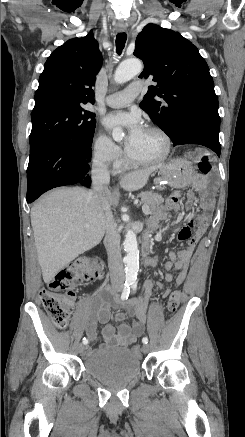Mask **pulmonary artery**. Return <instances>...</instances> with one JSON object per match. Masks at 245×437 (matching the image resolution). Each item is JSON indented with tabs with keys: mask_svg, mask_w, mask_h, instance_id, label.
Instances as JSON below:
<instances>
[{
	"mask_svg": "<svg viewBox=\"0 0 245 437\" xmlns=\"http://www.w3.org/2000/svg\"><path fill=\"white\" fill-rule=\"evenodd\" d=\"M141 88L139 82H134L123 91L109 95L105 100L106 104L112 108L126 107L141 92Z\"/></svg>",
	"mask_w": 245,
	"mask_h": 437,
	"instance_id": "obj_1",
	"label": "pulmonary artery"
}]
</instances>
